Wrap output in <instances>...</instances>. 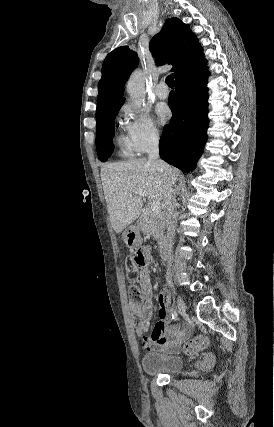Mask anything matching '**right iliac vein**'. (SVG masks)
Instances as JSON below:
<instances>
[{
    "label": "right iliac vein",
    "mask_w": 274,
    "mask_h": 427,
    "mask_svg": "<svg viewBox=\"0 0 274 427\" xmlns=\"http://www.w3.org/2000/svg\"><path fill=\"white\" fill-rule=\"evenodd\" d=\"M170 285H171V283H170ZM171 289L174 290V288H173L172 285H171ZM177 306H178L179 314L181 316H185V314H186V305H185L183 299L180 296L177 297Z\"/></svg>",
    "instance_id": "1"
}]
</instances>
